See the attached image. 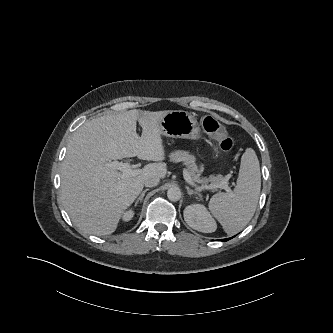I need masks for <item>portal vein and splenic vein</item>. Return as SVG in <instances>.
Returning a JSON list of instances; mask_svg holds the SVG:
<instances>
[{
	"label": "portal vein and splenic vein",
	"instance_id": "1",
	"mask_svg": "<svg viewBox=\"0 0 333 333\" xmlns=\"http://www.w3.org/2000/svg\"><path fill=\"white\" fill-rule=\"evenodd\" d=\"M106 166L121 171L124 176H136L140 172L138 169H135V165H132L130 163L110 161V162L106 163ZM183 176L188 184H190L191 186H195L198 190H204V189L213 190L216 188H221V189H225L227 192H230V189H229L227 183H222L219 186H215V185L196 186L187 171L183 172Z\"/></svg>",
	"mask_w": 333,
	"mask_h": 333
}]
</instances>
